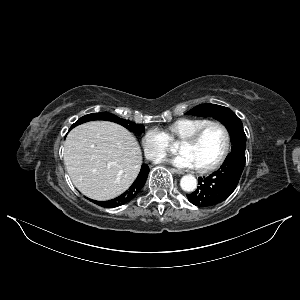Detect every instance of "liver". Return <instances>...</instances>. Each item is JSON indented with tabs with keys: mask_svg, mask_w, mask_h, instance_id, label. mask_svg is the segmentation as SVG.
Listing matches in <instances>:
<instances>
[{
	"mask_svg": "<svg viewBox=\"0 0 300 300\" xmlns=\"http://www.w3.org/2000/svg\"><path fill=\"white\" fill-rule=\"evenodd\" d=\"M64 164L82 194L105 201L131 186L142 165V152L135 137L121 125L91 121L68 134Z\"/></svg>",
	"mask_w": 300,
	"mask_h": 300,
	"instance_id": "1",
	"label": "liver"
}]
</instances>
